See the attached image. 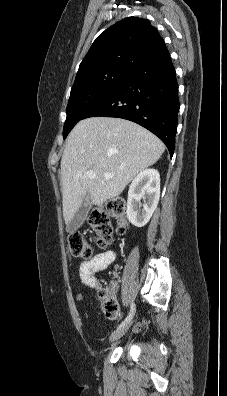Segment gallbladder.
Segmentation results:
<instances>
[{"instance_id":"bac80fb5","label":"gallbladder","mask_w":227,"mask_h":396,"mask_svg":"<svg viewBox=\"0 0 227 396\" xmlns=\"http://www.w3.org/2000/svg\"><path fill=\"white\" fill-rule=\"evenodd\" d=\"M91 209V199L88 196L83 198L82 204L78 211L75 213L71 221L67 224V232H74L77 230L86 219L88 212Z\"/></svg>"}]
</instances>
